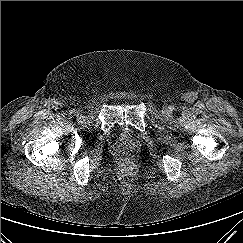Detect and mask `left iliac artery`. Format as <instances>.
<instances>
[{
	"label": "left iliac artery",
	"instance_id": "obj_1",
	"mask_svg": "<svg viewBox=\"0 0 243 243\" xmlns=\"http://www.w3.org/2000/svg\"><path fill=\"white\" fill-rule=\"evenodd\" d=\"M169 110H170V111H173V110H174V106H173V105H170V106H169Z\"/></svg>",
	"mask_w": 243,
	"mask_h": 243
}]
</instances>
